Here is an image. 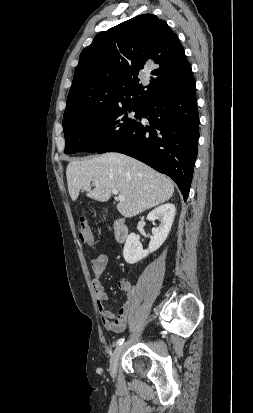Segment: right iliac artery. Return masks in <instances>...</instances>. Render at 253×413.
<instances>
[{"label": "right iliac artery", "mask_w": 253, "mask_h": 413, "mask_svg": "<svg viewBox=\"0 0 253 413\" xmlns=\"http://www.w3.org/2000/svg\"><path fill=\"white\" fill-rule=\"evenodd\" d=\"M124 340H125V338H120V339H118L116 345H117V346H118V345H121V344L124 342Z\"/></svg>", "instance_id": "82829eb1"}]
</instances>
